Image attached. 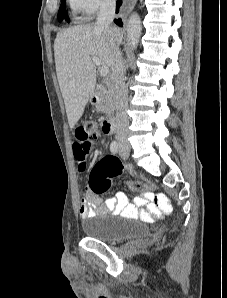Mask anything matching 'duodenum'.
Wrapping results in <instances>:
<instances>
[{"mask_svg":"<svg viewBox=\"0 0 227 298\" xmlns=\"http://www.w3.org/2000/svg\"><path fill=\"white\" fill-rule=\"evenodd\" d=\"M90 100L93 104L98 102V95L96 92L91 94ZM116 129V118L114 115L108 116L102 123V130L105 134H112Z\"/></svg>","mask_w":227,"mask_h":298,"instance_id":"1","label":"duodenum"}]
</instances>
